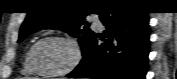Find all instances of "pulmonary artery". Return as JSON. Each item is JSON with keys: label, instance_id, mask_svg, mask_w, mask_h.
I'll use <instances>...</instances> for the list:
<instances>
[{"label": "pulmonary artery", "instance_id": "pulmonary-artery-1", "mask_svg": "<svg viewBox=\"0 0 177 79\" xmlns=\"http://www.w3.org/2000/svg\"><path fill=\"white\" fill-rule=\"evenodd\" d=\"M94 27L101 29L103 28L102 22L98 16H93L92 17Z\"/></svg>", "mask_w": 177, "mask_h": 79}]
</instances>
